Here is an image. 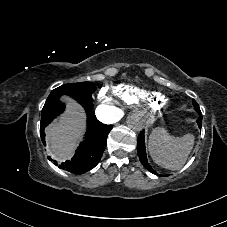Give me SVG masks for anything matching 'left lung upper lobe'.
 <instances>
[{
  "label": "left lung upper lobe",
  "mask_w": 227,
  "mask_h": 227,
  "mask_svg": "<svg viewBox=\"0 0 227 227\" xmlns=\"http://www.w3.org/2000/svg\"><path fill=\"white\" fill-rule=\"evenodd\" d=\"M193 105H194L195 110H196V111L198 112V114H199L198 120L202 121V113H201V111H200V109H199V105L197 104V102H196L195 100H193Z\"/></svg>",
  "instance_id": "1"
}]
</instances>
